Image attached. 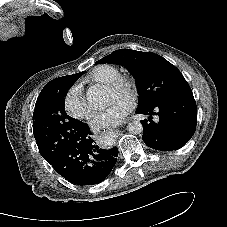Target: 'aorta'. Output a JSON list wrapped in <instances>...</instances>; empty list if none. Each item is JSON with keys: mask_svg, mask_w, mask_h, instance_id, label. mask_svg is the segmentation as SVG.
Segmentation results:
<instances>
[{"mask_svg": "<svg viewBox=\"0 0 227 227\" xmlns=\"http://www.w3.org/2000/svg\"><path fill=\"white\" fill-rule=\"evenodd\" d=\"M86 97L88 103L94 107L100 106L105 102V95L102 91V88L98 85L89 87L86 92ZM127 130L131 134L138 135L143 132V125L140 121H132L128 124Z\"/></svg>", "mask_w": 227, "mask_h": 227, "instance_id": "aorta-1", "label": "aorta"}]
</instances>
